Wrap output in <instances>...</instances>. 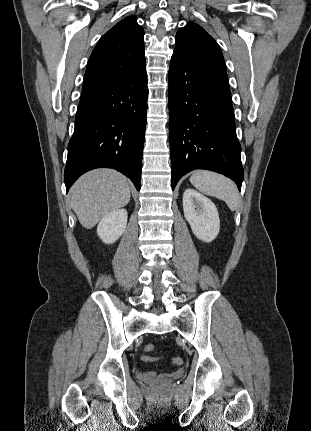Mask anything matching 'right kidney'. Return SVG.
I'll list each match as a JSON object with an SVG mask.
<instances>
[{"instance_id": "obj_1", "label": "right kidney", "mask_w": 311, "mask_h": 431, "mask_svg": "<svg viewBox=\"0 0 311 431\" xmlns=\"http://www.w3.org/2000/svg\"><path fill=\"white\" fill-rule=\"evenodd\" d=\"M127 210H113L100 219L97 233L104 243H114L119 239L127 225Z\"/></svg>"}]
</instances>
